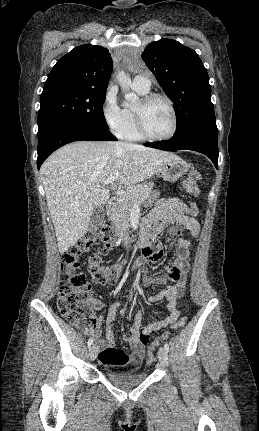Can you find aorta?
Here are the masks:
<instances>
[{"mask_svg":"<svg viewBox=\"0 0 259 431\" xmlns=\"http://www.w3.org/2000/svg\"><path fill=\"white\" fill-rule=\"evenodd\" d=\"M118 83L123 91L126 92L125 100L129 107H133L139 100L138 96L134 92H130L129 88L131 86V78L123 70L119 71L117 74Z\"/></svg>","mask_w":259,"mask_h":431,"instance_id":"1","label":"aorta"}]
</instances>
